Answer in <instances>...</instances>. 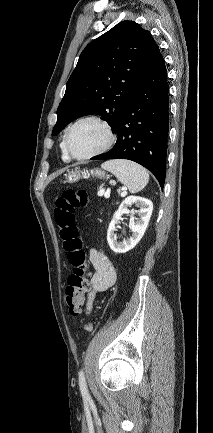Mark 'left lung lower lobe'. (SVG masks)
Here are the masks:
<instances>
[{
	"label": "left lung lower lobe",
	"instance_id": "1",
	"mask_svg": "<svg viewBox=\"0 0 213 433\" xmlns=\"http://www.w3.org/2000/svg\"><path fill=\"white\" fill-rule=\"evenodd\" d=\"M169 95L165 61L160 51L126 104L115 132V146L92 160L128 159L150 170L161 188L165 183L169 126Z\"/></svg>",
	"mask_w": 213,
	"mask_h": 433
}]
</instances>
